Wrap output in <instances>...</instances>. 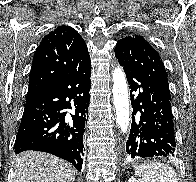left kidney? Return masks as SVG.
<instances>
[{
  "label": "left kidney",
  "mask_w": 196,
  "mask_h": 182,
  "mask_svg": "<svg viewBox=\"0 0 196 182\" xmlns=\"http://www.w3.org/2000/svg\"><path fill=\"white\" fill-rule=\"evenodd\" d=\"M128 182H138V181H137V179H136V178H134V177H130V178H129V180H128Z\"/></svg>",
  "instance_id": "left-kidney-1"
}]
</instances>
